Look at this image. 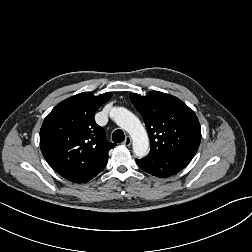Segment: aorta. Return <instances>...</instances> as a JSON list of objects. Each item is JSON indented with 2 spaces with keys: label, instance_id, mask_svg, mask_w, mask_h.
I'll return each instance as SVG.
<instances>
[{
  "label": "aorta",
  "instance_id": "762f6f07",
  "mask_svg": "<svg viewBox=\"0 0 252 252\" xmlns=\"http://www.w3.org/2000/svg\"><path fill=\"white\" fill-rule=\"evenodd\" d=\"M111 113L116 124L132 137L134 154L139 158L146 156L149 148V139L140 120L124 107L113 108Z\"/></svg>",
  "mask_w": 252,
  "mask_h": 252
}]
</instances>
